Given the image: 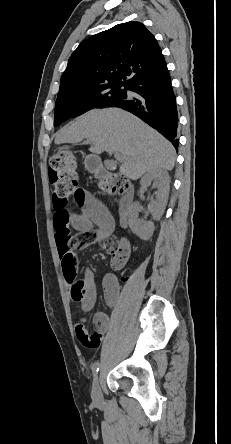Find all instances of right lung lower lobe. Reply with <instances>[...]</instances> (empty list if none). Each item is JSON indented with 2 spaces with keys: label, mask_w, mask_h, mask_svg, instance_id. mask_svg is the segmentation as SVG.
<instances>
[{
  "label": "right lung lower lobe",
  "mask_w": 231,
  "mask_h": 444,
  "mask_svg": "<svg viewBox=\"0 0 231 444\" xmlns=\"http://www.w3.org/2000/svg\"><path fill=\"white\" fill-rule=\"evenodd\" d=\"M129 90L140 97L129 95L112 106L132 112L162 133L178 149V112L167 67L131 83Z\"/></svg>",
  "instance_id": "right-lung-lower-lobe-1"
}]
</instances>
